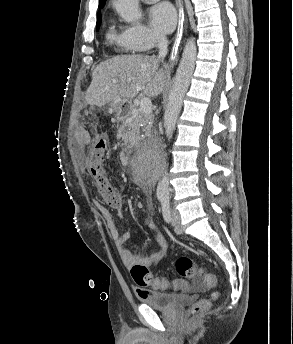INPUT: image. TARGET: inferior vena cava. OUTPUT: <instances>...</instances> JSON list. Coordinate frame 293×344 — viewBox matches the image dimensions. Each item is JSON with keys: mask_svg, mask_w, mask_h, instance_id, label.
Returning <instances> with one entry per match:
<instances>
[{"mask_svg": "<svg viewBox=\"0 0 293 344\" xmlns=\"http://www.w3.org/2000/svg\"><path fill=\"white\" fill-rule=\"evenodd\" d=\"M157 48L159 49L158 57L164 58L168 52V39L165 35L157 34L156 35Z\"/></svg>", "mask_w": 293, "mask_h": 344, "instance_id": "obj_1", "label": "inferior vena cava"}]
</instances>
